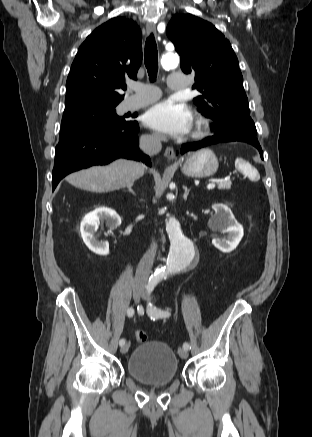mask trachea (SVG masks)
<instances>
[{
	"instance_id": "3493384b",
	"label": "trachea",
	"mask_w": 312,
	"mask_h": 437,
	"mask_svg": "<svg viewBox=\"0 0 312 437\" xmlns=\"http://www.w3.org/2000/svg\"><path fill=\"white\" fill-rule=\"evenodd\" d=\"M144 62L150 80L154 81L158 71V51L153 34H150L145 43Z\"/></svg>"
}]
</instances>
